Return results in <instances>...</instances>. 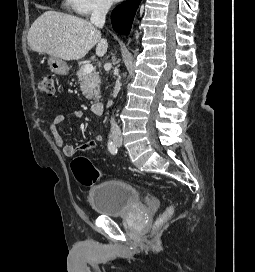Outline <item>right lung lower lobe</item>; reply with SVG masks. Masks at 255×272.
Wrapping results in <instances>:
<instances>
[{
  "label": "right lung lower lobe",
  "instance_id": "1",
  "mask_svg": "<svg viewBox=\"0 0 255 272\" xmlns=\"http://www.w3.org/2000/svg\"><path fill=\"white\" fill-rule=\"evenodd\" d=\"M140 1L126 0L114 9L111 15V22L116 32L123 35L129 34Z\"/></svg>",
  "mask_w": 255,
  "mask_h": 272
}]
</instances>
